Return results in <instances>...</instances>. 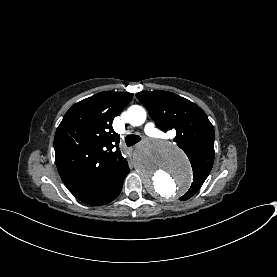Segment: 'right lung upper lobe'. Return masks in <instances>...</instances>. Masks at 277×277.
Masks as SVG:
<instances>
[{
    "label": "right lung upper lobe",
    "mask_w": 277,
    "mask_h": 277,
    "mask_svg": "<svg viewBox=\"0 0 277 277\" xmlns=\"http://www.w3.org/2000/svg\"><path fill=\"white\" fill-rule=\"evenodd\" d=\"M132 93L101 92L74 104L54 138L55 161L68 190L82 199L108 182L126 159L112 121Z\"/></svg>",
    "instance_id": "obj_1"
}]
</instances>
